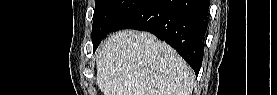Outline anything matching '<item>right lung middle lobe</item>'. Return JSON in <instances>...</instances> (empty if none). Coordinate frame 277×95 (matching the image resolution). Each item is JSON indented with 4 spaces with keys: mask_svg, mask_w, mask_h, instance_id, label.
<instances>
[{
    "mask_svg": "<svg viewBox=\"0 0 277 95\" xmlns=\"http://www.w3.org/2000/svg\"><path fill=\"white\" fill-rule=\"evenodd\" d=\"M144 0H95L92 43L95 49L101 40Z\"/></svg>",
    "mask_w": 277,
    "mask_h": 95,
    "instance_id": "dd1d6c3e",
    "label": "right lung middle lobe"
}]
</instances>
